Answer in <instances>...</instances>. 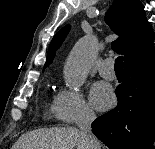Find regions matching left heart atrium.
Listing matches in <instances>:
<instances>
[{"mask_svg": "<svg viewBox=\"0 0 155 149\" xmlns=\"http://www.w3.org/2000/svg\"><path fill=\"white\" fill-rule=\"evenodd\" d=\"M90 100L96 109L103 111L112 105L114 94L109 85L104 82H98L91 90Z\"/></svg>", "mask_w": 155, "mask_h": 149, "instance_id": "39dd6f15", "label": "left heart atrium"}]
</instances>
